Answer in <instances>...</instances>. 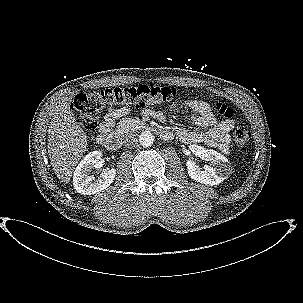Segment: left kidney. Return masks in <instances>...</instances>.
<instances>
[{"instance_id":"1","label":"left kidney","mask_w":303,"mask_h":303,"mask_svg":"<svg viewBox=\"0 0 303 303\" xmlns=\"http://www.w3.org/2000/svg\"><path fill=\"white\" fill-rule=\"evenodd\" d=\"M189 149L201 159L211 162L210 166L200 168L193 161L188 160L186 166L188 174L193 180L213 186L228 178L231 168L228 159L221 153L212 149H205L199 145H190Z\"/></svg>"}]
</instances>
